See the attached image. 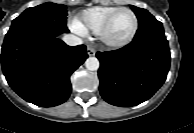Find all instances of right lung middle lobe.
<instances>
[{
	"instance_id": "right-lung-middle-lobe-1",
	"label": "right lung middle lobe",
	"mask_w": 194,
	"mask_h": 133,
	"mask_svg": "<svg viewBox=\"0 0 194 133\" xmlns=\"http://www.w3.org/2000/svg\"><path fill=\"white\" fill-rule=\"evenodd\" d=\"M66 6L55 3H44L26 9L20 16L13 20L12 26L26 21H57L66 24Z\"/></svg>"
}]
</instances>
